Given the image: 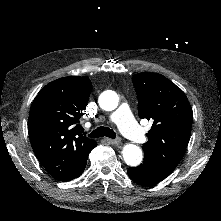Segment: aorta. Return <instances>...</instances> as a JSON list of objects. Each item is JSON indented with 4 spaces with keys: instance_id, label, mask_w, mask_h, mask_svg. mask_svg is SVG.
I'll return each instance as SVG.
<instances>
[{
    "instance_id": "1",
    "label": "aorta",
    "mask_w": 221,
    "mask_h": 221,
    "mask_svg": "<svg viewBox=\"0 0 221 221\" xmlns=\"http://www.w3.org/2000/svg\"><path fill=\"white\" fill-rule=\"evenodd\" d=\"M118 96L113 91L103 93L99 97V105L103 110L112 111L118 106ZM123 159L127 165L135 167L140 165L143 159L142 150L134 144H126L122 150Z\"/></svg>"
}]
</instances>
